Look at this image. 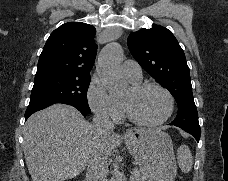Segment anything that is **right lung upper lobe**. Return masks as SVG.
<instances>
[{"instance_id":"right-lung-upper-lobe-1","label":"right lung upper lobe","mask_w":228,"mask_h":181,"mask_svg":"<svg viewBox=\"0 0 228 181\" xmlns=\"http://www.w3.org/2000/svg\"><path fill=\"white\" fill-rule=\"evenodd\" d=\"M95 28L68 22L54 30L39 57L35 77L52 74L89 77L97 53Z\"/></svg>"}]
</instances>
